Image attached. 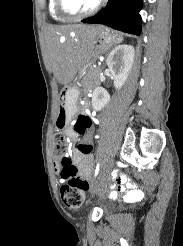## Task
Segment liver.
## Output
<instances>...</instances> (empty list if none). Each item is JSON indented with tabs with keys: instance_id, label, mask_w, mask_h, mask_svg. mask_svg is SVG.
<instances>
[{
	"instance_id": "obj_1",
	"label": "liver",
	"mask_w": 183,
	"mask_h": 246,
	"mask_svg": "<svg viewBox=\"0 0 183 246\" xmlns=\"http://www.w3.org/2000/svg\"><path fill=\"white\" fill-rule=\"evenodd\" d=\"M101 27L87 25L50 26L46 33L47 50L55 78L69 83L91 59L94 41ZM71 38L69 35H72ZM63 39V40H62Z\"/></svg>"
}]
</instances>
